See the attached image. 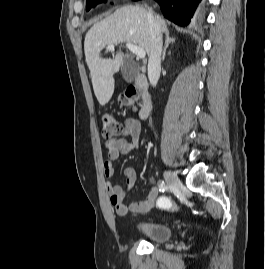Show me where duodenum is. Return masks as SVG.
Instances as JSON below:
<instances>
[{
    "mask_svg": "<svg viewBox=\"0 0 265 269\" xmlns=\"http://www.w3.org/2000/svg\"><path fill=\"white\" fill-rule=\"evenodd\" d=\"M135 85L137 88L141 90V94H142V105L139 111V117L141 119H145L151 111V99H150V95L147 89L148 81H147L146 76L143 73L137 76Z\"/></svg>",
    "mask_w": 265,
    "mask_h": 269,
    "instance_id": "410a0bca",
    "label": "duodenum"
}]
</instances>
